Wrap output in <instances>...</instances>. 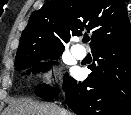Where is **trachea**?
<instances>
[{
    "mask_svg": "<svg viewBox=\"0 0 131 115\" xmlns=\"http://www.w3.org/2000/svg\"><path fill=\"white\" fill-rule=\"evenodd\" d=\"M90 41V37H85V38H83V42L84 43H87V42H89Z\"/></svg>",
    "mask_w": 131,
    "mask_h": 115,
    "instance_id": "trachea-1",
    "label": "trachea"
}]
</instances>
